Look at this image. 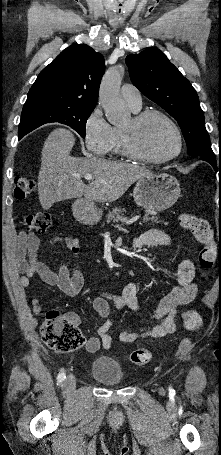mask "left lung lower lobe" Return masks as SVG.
Masks as SVG:
<instances>
[{
	"label": "left lung lower lobe",
	"instance_id": "left-lung-lower-lobe-1",
	"mask_svg": "<svg viewBox=\"0 0 221 455\" xmlns=\"http://www.w3.org/2000/svg\"><path fill=\"white\" fill-rule=\"evenodd\" d=\"M198 158L200 160H204V161L210 163L216 172H217V170H219L221 173V159H220V162L218 163L215 156H199Z\"/></svg>",
	"mask_w": 221,
	"mask_h": 455
}]
</instances>
